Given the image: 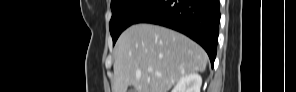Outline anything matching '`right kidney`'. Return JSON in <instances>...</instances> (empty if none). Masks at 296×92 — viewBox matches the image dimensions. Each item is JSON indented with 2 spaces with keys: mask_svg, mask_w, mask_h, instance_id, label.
Segmentation results:
<instances>
[{
  "mask_svg": "<svg viewBox=\"0 0 296 92\" xmlns=\"http://www.w3.org/2000/svg\"><path fill=\"white\" fill-rule=\"evenodd\" d=\"M202 78L197 73L182 77L171 92H200Z\"/></svg>",
  "mask_w": 296,
  "mask_h": 92,
  "instance_id": "1",
  "label": "right kidney"
}]
</instances>
